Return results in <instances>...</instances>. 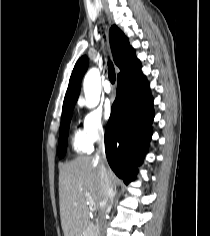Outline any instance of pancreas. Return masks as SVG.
<instances>
[{"label":"pancreas","mask_w":210,"mask_h":236,"mask_svg":"<svg viewBox=\"0 0 210 236\" xmlns=\"http://www.w3.org/2000/svg\"><path fill=\"white\" fill-rule=\"evenodd\" d=\"M83 236H97V225L94 222H89L84 230Z\"/></svg>","instance_id":"cf45deb5"}]
</instances>
